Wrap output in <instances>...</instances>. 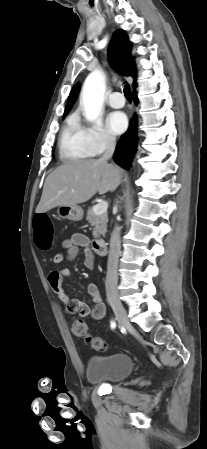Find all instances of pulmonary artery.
<instances>
[{
	"label": "pulmonary artery",
	"mask_w": 207,
	"mask_h": 449,
	"mask_svg": "<svg viewBox=\"0 0 207 449\" xmlns=\"http://www.w3.org/2000/svg\"><path fill=\"white\" fill-rule=\"evenodd\" d=\"M107 102L113 108H121L125 104V99L120 92H113Z\"/></svg>",
	"instance_id": "obj_1"
}]
</instances>
